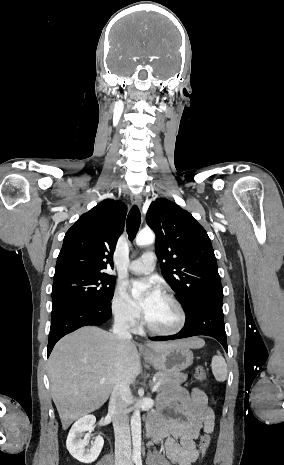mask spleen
Instances as JSON below:
<instances>
[{
  "label": "spleen",
  "mask_w": 284,
  "mask_h": 465,
  "mask_svg": "<svg viewBox=\"0 0 284 465\" xmlns=\"http://www.w3.org/2000/svg\"><path fill=\"white\" fill-rule=\"evenodd\" d=\"M211 367H212V373L216 381H219V383H222V381H226L227 375H228V369H227L226 361L225 359H223L219 351H217L216 357H213Z\"/></svg>",
  "instance_id": "1"
}]
</instances>
